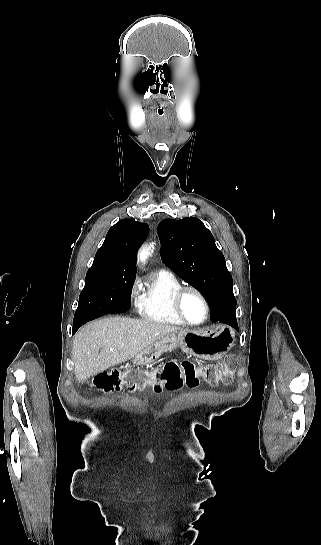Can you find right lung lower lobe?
I'll use <instances>...</instances> for the list:
<instances>
[{
  "label": "right lung lower lobe",
  "instance_id": "obj_1",
  "mask_svg": "<svg viewBox=\"0 0 321 545\" xmlns=\"http://www.w3.org/2000/svg\"><path fill=\"white\" fill-rule=\"evenodd\" d=\"M131 306V294L118 297L108 306L107 314L122 313L130 309ZM93 319H83L79 321H73V333H75L80 326Z\"/></svg>",
  "mask_w": 321,
  "mask_h": 545
}]
</instances>
